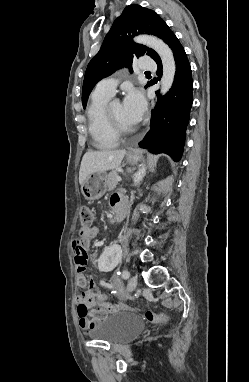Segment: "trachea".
I'll return each instance as SVG.
<instances>
[{
    "label": "trachea",
    "instance_id": "1",
    "mask_svg": "<svg viewBox=\"0 0 249 382\" xmlns=\"http://www.w3.org/2000/svg\"><path fill=\"white\" fill-rule=\"evenodd\" d=\"M146 74H150V72H145Z\"/></svg>",
    "mask_w": 249,
    "mask_h": 382
}]
</instances>
